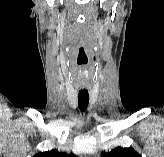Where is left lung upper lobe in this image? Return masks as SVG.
<instances>
[{"label": "left lung upper lobe", "instance_id": "obj_1", "mask_svg": "<svg viewBox=\"0 0 164 157\" xmlns=\"http://www.w3.org/2000/svg\"><path fill=\"white\" fill-rule=\"evenodd\" d=\"M101 157H142L132 148L117 147L111 152H102Z\"/></svg>", "mask_w": 164, "mask_h": 157}]
</instances>
